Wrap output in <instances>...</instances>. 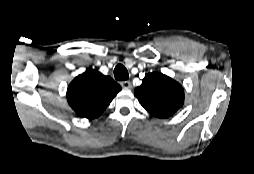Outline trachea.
I'll list each match as a JSON object with an SVG mask.
<instances>
[{
    "mask_svg": "<svg viewBox=\"0 0 254 174\" xmlns=\"http://www.w3.org/2000/svg\"><path fill=\"white\" fill-rule=\"evenodd\" d=\"M114 77L116 80L125 81L128 79V71L124 65L118 64L114 69Z\"/></svg>",
    "mask_w": 254,
    "mask_h": 174,
    "instance_id": "obj_1",
    "label": "trachea"
}]
</instances>
